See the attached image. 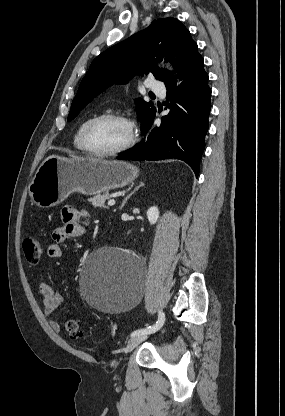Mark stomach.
Listing matches in <instances>:
<instances>
[{
  "instance_id": "0dacf381",
  "label": "stomach",
  "mask_w": 285,
  "mask_h": 416,
  "mask_svg": "<svg viewBox=\"0 0 285 416\" xmlns=\"http://www.w3.org/2000/svg\"><path fill=\"white\" fill-rule=\"evenodd\" d=\"M139 176V170L128 162L102 158H62L48 156L39 166L28 190L40 208L58 206L72 192L85 196L124 188Z\"/></svg>"
}]
</instances>
